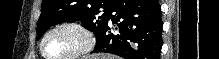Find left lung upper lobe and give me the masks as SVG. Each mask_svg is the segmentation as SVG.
<instances>
[{"label": "left lung upper lobe", "instance_id": "5c2ea615", "mask_svg": "<svg viewBox=\"0 0 219 59\" xmlns=\"http://www.w3.org/2000/svg\"><path fill=\"white\" fill-rule=\"evenodd\" d=\"M114 0H43L37 26V40L52 25L82 21L96 39L102 34Z\"/></svg>", "mask_w": 219, "mask_h": 59}]
</instances>
